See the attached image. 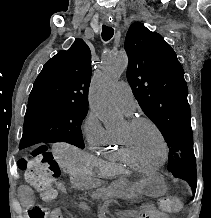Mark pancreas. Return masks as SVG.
<instances>
[{
    "instance_id": "cf45deb5",
    "label": "pancreas",
    "mask_w": 211,
    "mask_h": 218,
    "mask_svg": "<svg viewBox=\"0 0 211 218\" xmlns=\"http://www.w3.org/2000/svg\"><path fill=\"white\" fill-rule=\"evenodd\" d=\"M102 190L95 191V199L100 200V195H120V198H124V200H133V198H138L137 192H135L134 186L131 188H126V186H121V184H117V188L113 190V186H102Z\"/></svg>"
}]
</instances>
